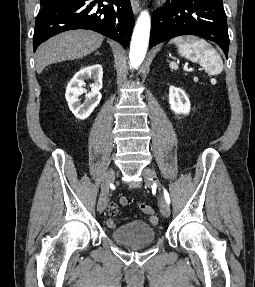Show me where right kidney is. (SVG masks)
I'll return each instance as SVG.
<instances>
[{
	"label": "right kidney",
	"instance_id": "1",
	"mask_svg": "<svg viewBox=\"0 0 255 287\" xmlns=\"http://www.w3.org/2000/svg\"><path fill=\"white\" fill-rule=\"evenodd\" d=\"M103 78V70L100 64H94V66H86V68H81L72 80H70L67 88L65 98L68 102V106L73 112L76 118L79 120H85L90 114H92L94 108L98 106L102 96L99 92L101 90ZM84 80H93L91 92L86 94V100L84 104H81L79 96L85 94Z\"/></svg>",
	"mask_w": 255,
	"mask_h": 287
}]
</instances>
